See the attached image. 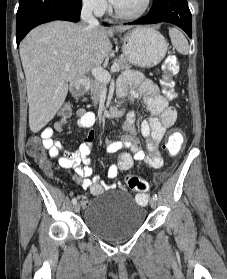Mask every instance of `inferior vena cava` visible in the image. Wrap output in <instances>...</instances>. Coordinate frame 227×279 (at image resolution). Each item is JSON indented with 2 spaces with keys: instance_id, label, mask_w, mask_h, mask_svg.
<instances>
[{
  "instance_id": "1",
  "label": "inferior vena cava",
  "mask_w": 227,
  "mask_h": 279,
  "mask_svg": "<svg viewBox=\"0 0 227 279\" xmlns=\"http://www.w3.org/2000/svg\"><path fill=\"white\" fill-rule=\"evenodd\" d=\"M93 5L90 2L84 3L81 11V19L89 25V27L99 26L98 20L93 16L92 13Z\"/></svg>"
}]
</instances>
